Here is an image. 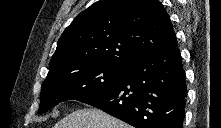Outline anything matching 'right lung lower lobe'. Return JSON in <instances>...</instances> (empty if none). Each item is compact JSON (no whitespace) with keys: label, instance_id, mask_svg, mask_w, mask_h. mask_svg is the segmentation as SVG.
Here are the masks:
<instances>
[{"label":"right lung lower lobe","instance_id":"1","mask_svg":"<svg viewBox=\"0 0 221 128\" xmlns=\"http://www.w3.org/2000/svg\"><path fill=\"white\" fill-rule=\"evenodd\" d=\"M186 76L176 47L135 61L115 84L81 102L135 128H182Z\"/></svg>","mask_w":221,"mask_h":128}]
</instances>
